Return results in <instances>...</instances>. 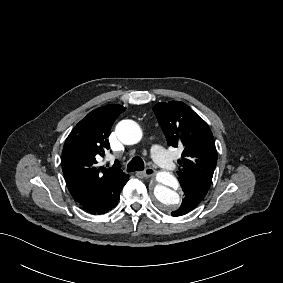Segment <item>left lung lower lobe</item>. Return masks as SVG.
I'll return each instance as SVG.
<instances>
[{
	"instance_id": "1",
	"label": "left lung lower lobe",
	"mask_w": 283,
	"mask_h": 283,
	"mask_svg": "<svg viewBox=\"0 0 283 283\" xmlns=\"http://www.w3.org/2000/svg\"><path fill=\"white\" fill-rule=\"evenodd\" d=\"M180 185L184 191L185 197L181 207L171 212L172 216L184 215L193 210L205 197L209 188L195 181H181Z\"/></svg>"
}]
</instances>
